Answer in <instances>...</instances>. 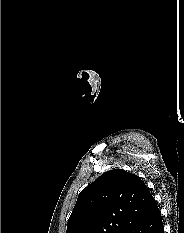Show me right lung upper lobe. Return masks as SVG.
Segmentation results:
<instances>
[{"mask_svg": "<svg viewBox=\"0 0 184 233\" xmlns=\"http://www.w3.org/2000/svg\"><path fill=\"white\" fill-rule=\"evenodd\" d=\"M156 206L138 176L110 170L80 192L66 233H127Z\"/></svg>", "mask_w": 184, "mask_h": 233, "instance_id": "obj_1", "label": "right lung upper lobe"}]
</instances>
